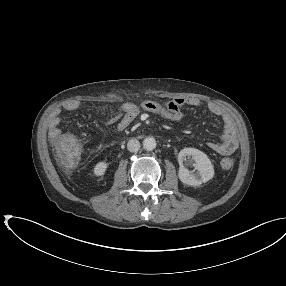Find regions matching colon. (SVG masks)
Instances as JSON below:
<instances>
[{
    "label": "colon",
    "mask_w": 286,
    "mask_h": 286,
    "mask_svg": "<svg viewBox=\"0 0 286 286\" xmlns=\"http://www.w3.org/2000/svg\"><path fill=\"white\" fill-rule=\"evenodd\" d=\"M52 140L60 163L66 168L74 167L81 154L79 141L69 134L56 135ZM221 165L224 169H230L233 166V160L230 158L223 159Z\"/></svg>",
    "instance_id": "colon-1"
}]
</instances>
